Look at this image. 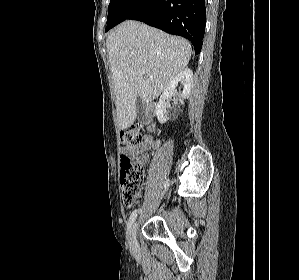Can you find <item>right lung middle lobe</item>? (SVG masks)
Here are the masks:
<instances>
[{
  "instance_id": "1",
  "label": "right lung middle lobe",
  "mask_w": 299,
  "mask_h": 280,
  "mask_svg": "<svg viewBox=\"0 0 299 280\" xmlns=\"http://www.w3.org/2000/svg\"><path fill=\"white\" fill-rule=\"evenodd\" d=\"M131 0H111L108 6V18L106 31L115 26L116 20L123 9Z\"/></svg>"
}]
</instances>
